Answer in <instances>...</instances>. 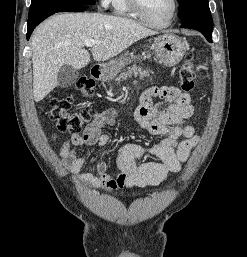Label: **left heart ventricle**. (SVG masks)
Segmentation results:
<instances>
[{
    "label": "left heart ventricle",
    "mask_w": 247,
    "mask_h": 257,
    "mask_svg": "<svg viewBox=\"0 0 247 257\" xmlns=\"http://www.w3.org/2000/svg\"><path fill=\"white\" fill-rule=\"evenodd\" d=\"M143 12L153 22H166L173 10V0H140Z\"/></svg>",
    "instance_id": "obj_1"
}]
</instances>
